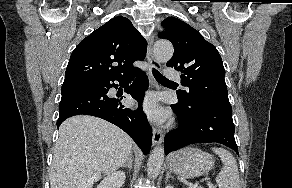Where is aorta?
I'll return each mask as SVG.
<instances>
[{
	"label": "aorta",
	"instance_id": "aorta-1",
	"mask_svg": "<svg viewBox=\"0 0 292 188\" xmlns=\"http://www.w3.org/2000/svg\"><path fill=\"white\" fill-rule=\"evenodd\" d=\"M172 44L166 40H159L154 45V57L160 63H166L173 55ZM164 147L158 146L151 152L147 162V174L150 178L159 175L164 161Z\"/></svg>",
	"mask_w": 292,
	"mask_h": 188
}]
</instances>
